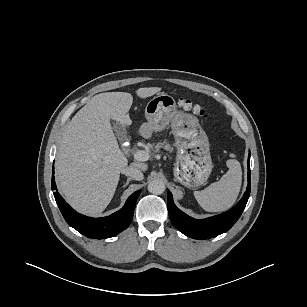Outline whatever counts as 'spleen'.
I'll list each match as a JSON object with an SVG mask.
<instances>
[{"instance_id": "1", "label": "spleen", "mask_w": 307, "mask_h": 307, "mask_svg": "<svg viewBox=\"0 0 307 307\" xmlns=\"http://www.w3.org/2000/svg\"><path fill=\"white\" fill-rule=\"evenodd\" d=\"M235 157L234 154L230 155ZM229 170L217 182L202 191H194L200 206L208 212H222L233 206L240 192L242 182L241 165L236 159L227 162Z\"/></svg>"}]
</instances>
